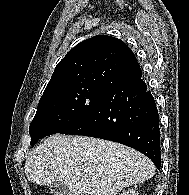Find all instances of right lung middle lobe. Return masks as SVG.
I'll return each mask as SVG.
<instances>
[{"instance_id": "1", "label": "right lung middle lobe", "mask_w": 189, "mask_h": 195, "mask_svg": "<svg viewBox=\"0 0 189 195\" xmlns=\"http://www.w3.org/2000/svg\"><path fill=\"white\" fill-rule=\"evenodd\" d=\"M111 91L72 88L43 95L29 127L31 145L44 137L60 133L82 119Z\"/></svg>"}]
</instances>
